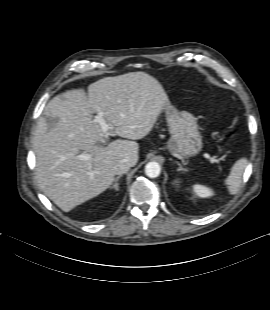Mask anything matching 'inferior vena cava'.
<instances>
[{"label":"inferior vena cava","mask_w":270,"mask_h":310,"mask_svg":"<svg viewBox=\"0 0 270 310\" xmlns=\"http://www.w3.org/2000/svg\"><path fill=\"white\" fill-rule=\"evenodd\" d=\"M129 168H130L129 162L123 159V160L118 161L114 165L113 170L116 175H122L126 173L129 170Z\"/></svg>","instance_id":"obj_1"}]
</instances>
